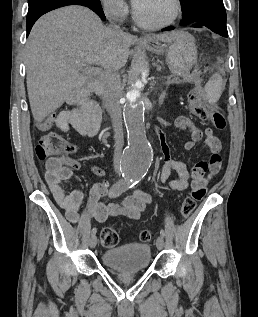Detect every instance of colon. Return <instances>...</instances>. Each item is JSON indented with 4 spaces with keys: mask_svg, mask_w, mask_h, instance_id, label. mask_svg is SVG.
<instances>
[{
    "mask_svg": "<svg viewBox=\"0 0 258 317\" xmlns=\"http://www.w3.org/2000/svg\"><path fill=\"white\" fill-rule=\"evenodd\" d=\"M188 105L191 113L202 121H211L213 125L223 130L226 127V118L224 113L219 109L211 110L204 103V93L201 87L193 89L188 95ZM36 155L39 159L51 157H60L70 166H78L79 163L74 157L77 147L64 139L56 132H49L42 135L36 145ZM211 173L210 176H213ZM204 186L195 187L191 194L186 197L179 206V215L187 218L196 208V204L205 195ZM151 239L149 231L144 230L140 233V240L147 242ZM101 244L106 248L115 247L119 242L117 232L112 228H104L100 234Z\"/></svg>",
    "mask_w": 258,
    "mask_h": 317,
    "instance_id": "1",
    "label": "colon"
}]
</instances>
